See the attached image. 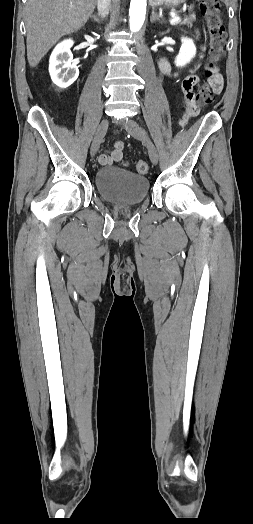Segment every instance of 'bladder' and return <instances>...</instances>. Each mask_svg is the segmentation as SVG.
I'll return each instance as SVG.
<instances>
[{
    "instance_id": "31cf9c89",
    "label": "bladder",
    "mask_w": 253,
    "mask_h": 524,
    "mask_svg": "<svg viewBox=\"0 0 253 524\" xmlns=\"http://www.w3.org/2000/svg\"><path fill=\"white\" fill-rule=\"evenodd\" d=\"M95 186L105 201L115 205L139 204L149 192L147 177L116 166L100 168L95 175Z\"/></svg>"
}]
</instances>
